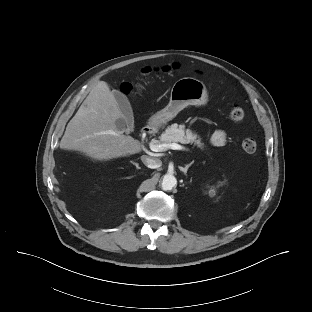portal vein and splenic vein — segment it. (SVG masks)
<instances>
[{"label": "portal vein and splenic vein", "mask_w": 312, "mask_h": 312, "mask_svg": "<svg viewBox=\"0 0 312 312\" xmlns=\"http://www.w3.org/2000/svg\"><path fill=\"white\" fill-rule=\"evenodd\" d=\"M149 147L154 152H162V151H166L167 149L187 150L184 146L179 145L177 143H172V144L161 143V144H158V143H156V141H151L149 143Z\"/></svg>", "instance_id": "obj_1"}]
</instances>
